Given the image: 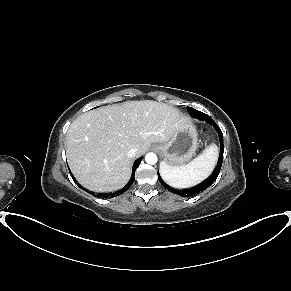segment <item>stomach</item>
Wrapping results in <instances>:
<instances>
[{
    "mask_svg": "<svg viewBox=\"0 0 291 291\" xmlns=\"http://www.w3.org/2000/svg\"><path fill=\"white\" fill-rule=\"evenodd\" d=\"M169 166L184 165L194 155L197 148V131L189 121L177 130L169 141L156 146Z\"/></svg>",
    "mask_w": 291,
    "mask_h": 291,
    "instance_id": "0dacf381",
    "label": "stomach"
}]
</instances>
